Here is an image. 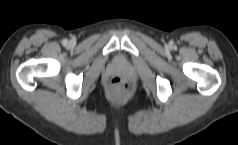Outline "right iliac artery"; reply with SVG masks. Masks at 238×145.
Segmentation results:
<instances>
[{
	"mask_svg": "<svg viewBox=\"0 0 238 145\" xmlns=\"http://www.w3.org/2000/svg\"><path fill=\"white\" fill-rule=\"evenodd\" d=\"M62 43H63V45H67L68 41H67L66 39H64V40L62 41Z\"/></svg>",
	"mask_w": 238,
	"mask_h": 145,
	"instance_id": "right-iliac-artery-1",
	"label": "right iliac artery"
}]
</instances>
